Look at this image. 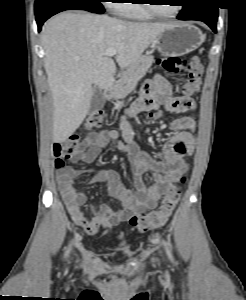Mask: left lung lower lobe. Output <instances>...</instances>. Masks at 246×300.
<instances>
[{
    "label": "left lung lower lobe",
    "instance_id": "obj_1",
    "mask_svg": "<svg viewBox=\"0 0 246 300\" xmlns=\"http://www.w3.org/2000/svg\"><path fill=\"white\" fill-rule=\"evenodd\" d=\"M179 20H199L205 22L216 33L218 7L212 0H193L177 16Z\"/></svg>",
    "mask_w": 246,
    "mask_h": 300
}]
</instances>
